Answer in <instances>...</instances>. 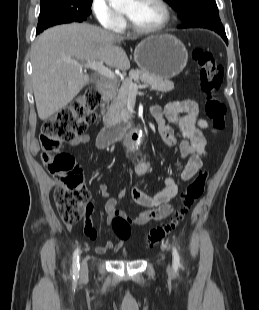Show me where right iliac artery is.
<instances>
[{
    "instance_id": "obj_1",
    "label": "right iliac artery",
    "mask_w": 259,
    "mask_h": 310,
    "mask_svg": "<svg viewBox=\"0 0 259 310\" xmlns=\"http://www.w3.org/2000/svg\"><path fill=\"white\" fill-rule=\"evenodd\" d=\"M79 248H77L73 254V263H72V275L73 279L77 280L79 278Z\"/></svg>"
}]
</instances>
